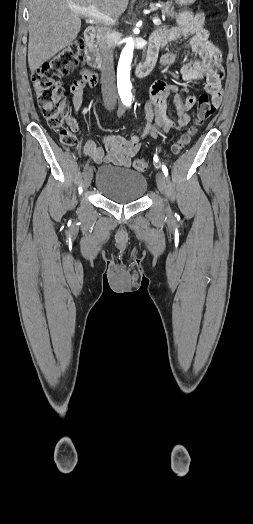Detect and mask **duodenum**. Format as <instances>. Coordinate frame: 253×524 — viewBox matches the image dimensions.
<instances>
[{"instance_id": "1", "label": "duodenum", "mask_w": 253, "mask_h": 524, "mask_svg": "<svg viewBox=\"0 0 253 524\" xmlns=\"http://www.w3.org/2000/svg\"><path fill=\"white\" fill-rule=\"evenodd\" d=\"M96 37V28L94 26H89L84 32L85 40V58L89 66L94 69H102L103 61L99 54V51L95 45ZM152 69V64L150 62H141L136 64L135 70L137 75L145 76Z\"/></svg>"}]
</instances>
